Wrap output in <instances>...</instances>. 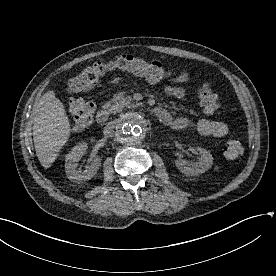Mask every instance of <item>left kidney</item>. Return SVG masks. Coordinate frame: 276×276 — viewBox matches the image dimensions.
I'll return each mask as SVG.
<instances>
[{"mask_svg": "<svg viewBox=\"0 0 276 276\" xmlns=\"http://www.w3.org/2000/svg\"><path fill=\"white\" fill-rule=\"evenodd\" d=\"M201 158L199 162L187 163L184 160H176L175 165L181 173L187 176L199 175L209 170L213 164V157L209 151L204 148L197 147Z\"/></svg>", "mask_w": 276, "mask_h": 276, "instance_id": "5707ae66", "label": "left kidney"}]
</instances>
